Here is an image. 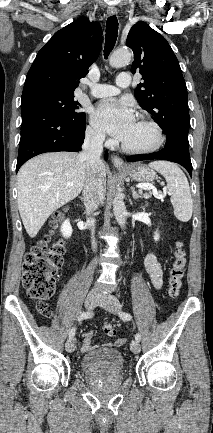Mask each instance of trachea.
I'll return each instance as SVG.
<instances>
[{"mask_svg":"<svg viewBox=\"0 0 213 433\" xmlns=\"http://www.w3.org/2000/svg\"><path fill=\"white\" fill-rule=\"evenodd\" d=\"M118 34V20L115 15L110 16L106 23V40L104 47V57L107 58L115 46Z\"/></svg>","mask_w":213,"mask_h":433,"instance_id":"3493384b","label":"trachea"}]
</instances>
